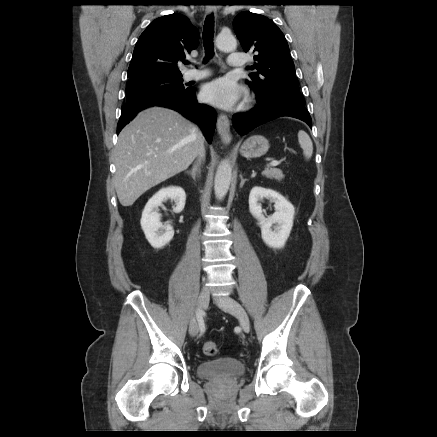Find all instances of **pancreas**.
<instances>
[{"instance_id":"1","label":"pancreas","mask_w":437,"mask_h":437,"mask_svg":"<svg viewBox=\"0 0 437 437\" xmlns=\"http://www.w3.org/2000/svg\"><path fill=\"white\" fill-rule=\"evenodd\" d=\"M262 174L267 178L275 179L278 181H281L284 178V174L282 173V171L276 168L266 169Z\"/></svg>"}]
</instances>
